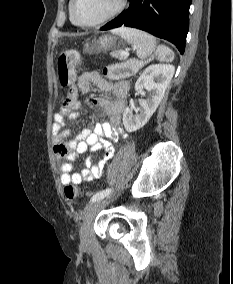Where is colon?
Listing matches in <instances>:
<instances>
[{"label":"colon","mask_w":233,"mask_h":284,"mask_svg":"<svg viewBox=\"0 0 233 284\" xmlns=\"http://www.w3.org/2000/svg\"><path fill=\"white\" fill-rule=\"evenodd\" d=\"M173 51L165 46L157 47L155 53L148 59H133L122 63L109 65L104 68V74L111 80H120L136 73L141 67L151 60L161 62H171L173 60ZM81 58L76 50L68 49L62 51L57 57V71L60 84L68 87L76 81V67L80 65ZM64 194L67 199L73 200L79 195V190L75 185H67L64 188Z\"/></svg>","instance_id":"1"}]
</instances>
